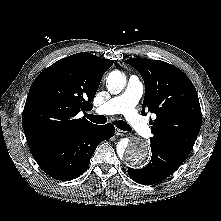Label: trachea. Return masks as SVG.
Here are the masks:
<instances>
[{
    "label": "trachea",
    "instance_id": "obj_1",
    "mask_svg": "<svg viewBox=\"0 0 221 221\" xmlns=\"http://www.w3.org/2000/svg\"><path fill=\"white\" fill-rule=\"evenodd\" d=\"M86 117L90 121H92L93 123H96V124H105L107 122L106 116H103V115L96 116L93 114H86ZM115 125L117 126V128L124 130V131L131 130V127L125 121H122V120L116 121Z\"/></svg>",
    "mask_w": 221,
    "mask_h": 221
}]
</instances>
